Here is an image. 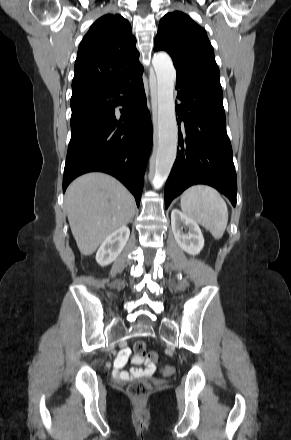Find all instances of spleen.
I'll use <instances>...</instances> for the list:
<instances>
[{
    "label": "spleen",
    "mask_w": 291,
    "mask_h": 440,
    "mask_svg": "<svg viewBox=\"0 0 291 440\" xmlns=\"http://www.w3.org/2000/svg\"><path fill=\"white\" fill-rule=\"evenodd\" d=\"M181 209L205 227L212 236L222 238L228 223V208L219 192L207 185H194L181 196Z\"/></svg>",
    "instance_id": "3e777b00"
}]
</instances>
